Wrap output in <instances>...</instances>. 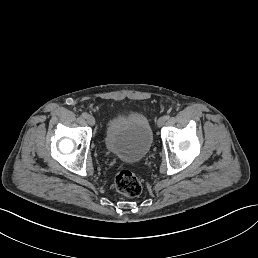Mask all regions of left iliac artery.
<instances>
[{"mask_svg": "<svg viewBox=\"0 0 258 258\" xmlns=\"http://www.w3.org/2000/svg\"><path fill=\"white\" fill-rule=\"evenodd\" d=\"M164 118H165L166 120H168V119L170 118V115H169V114H166V115L164 116Z\"/></svg>", "mask_w": 258, "mask_h": 258, "instance_id": "44dca946", "label": "left iliac artery"}]
</instances>
